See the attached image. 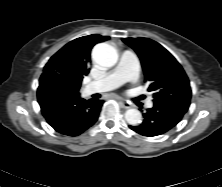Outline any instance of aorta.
I'll use <instances>...</instances> for the list:
<instances>
[{
    "mask_svg": "<svg viewBox=\"0 0 222 187\" xmlns=\"http://www.w3.org/2000/svg\"><path fill=\"white\" fill-rule=\"evenodd\" d=\"M92 57L96 64L102 67H112L117 62L118 54L113 46L99 43L93 48ZM125 119L129 125L137 126L142 122V114L138 109H129L125 113Z\"/></svg>",
    "mask_w": 222,
    "mask_h": 187,
    "instance_id": "762f6f07",
    "label": "aorta"
}]
</instances>
